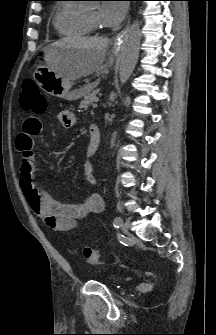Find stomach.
<instances>
[{
    "mask_svg": "<svg viewBox=\"0 0 216 335\" xmlns=\"http://www.w3.org/2000/svg\"><path fill=\"white\" fill-rule=\"evenodd\" d=\"M44 52L47 64L35 71L34 79L37 84L43 91L58 98L73 101L82 97L83 88L71 90L72 80L67 74L62 73L78 50L73 47L51 45L46 47ZM113 53L116 54L117 51L114 50Z\"/></svg>",
    "mask_w": 216,
    "mask_h": 335,
    "instance_id": "obj_1",
    "label": "stomach"
}]
</instances>
